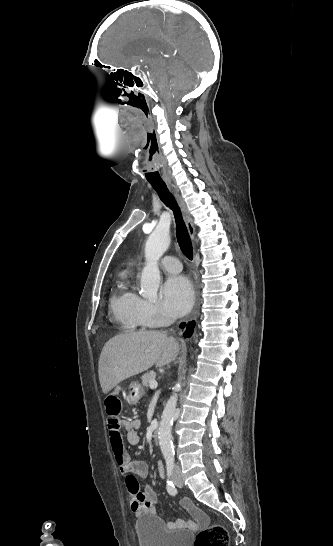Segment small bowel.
<instances>
[{
	"mask_svg": "<svg viewBox=\"0 0 333 546\" xmlns=\"http://www.w3.org/2000/svg\"><path fill=\"white\" fill-rule=\"evenodd\" d=\"M112 392L120 393V386L112 387ZM107 426L109 430L110 445L116 464L120 472L126 475V486L129 495V505L131 510L140 514L142 512L155 513L158 502L157 494L153 487L147 485L144 491H141L137 477H145L148 473V464L145 461H132L129 454L125 451L121 436V428L127 431V440L132 445L140 442L138 430L141 426L139 420L108 418ZM182 505L192 515L197 525H203L206 522V515L197 508L189 499L182 500ZM171 526H183L182 520L170 523Z\"/></svg>",
	"mask_w": 333,
	"mask_h": 546,
	"instance_id": "small-bowel-1",
	"label": "small bowel"
}]
</instances>
